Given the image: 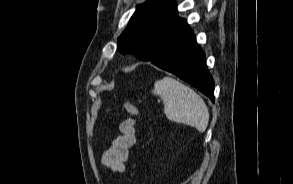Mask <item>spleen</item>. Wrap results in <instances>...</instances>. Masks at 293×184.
<instances>
[{
	"label": "spleen",
	"mask_w": 293,
	"mask_h": 184,
	"mask_svg": "<svg viewBox=\"0 0 293 184\" xmlns=\"http://www.w3.org/2000/svg\"><path fill=\"white\" fill-rule=\"evenodd\" d=\"M153 94L161 97L166 117L204 132L209 122V111L204 100L189 86L171 77L154 84Z\"/></svg>",
	"instance_id": "3e777b00"
}]
</instances>
